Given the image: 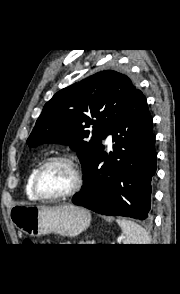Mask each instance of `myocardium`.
<instances>
[{
    "instance_id": "1",
    "label": "myocardium",
    "mask_w": 180,
    "mask_h": 294,
    "mask_svg": "<svg viewBox=\"0 0 180 294\" xmlns=\"http://www.w3.org/2000/svg\"><path fill=\"white\" fill-rule=\"evenodd\" d=\"M56 163H64L67 166H69L73 172L74 175V184L71 189H69L67 192L54 195V196H48L44 195L40 188H39V180L42 175V173L51 165L56 164ZM83 175L81 172V169L79 165L76 163V161L67 155H61V156H54L49 159H47L42 165H40L33 177V191L35 196L42 200V201H59V200H64L70 197H73L76 195L83 187Z\"/></svg>"
}]
</instances>
